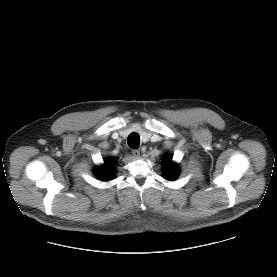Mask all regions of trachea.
Here are the masks:
<instances>
[{
	"mask_svg": "<svg viewBox=\"0 0 277 277\" xmlns=\"http://www.w3.org/2000/svg\"><path fill=\"white\" fill-rule=\"evenodd\" d=\"M127 143L131 148H137L140 145V137L137 133H132L127 138Z\"/></svg>",
	"mask_w": 277,
	"mask_h": 277,
	"instance_id": "3493384b",
	"label": "trachea"
}]
</instances>
